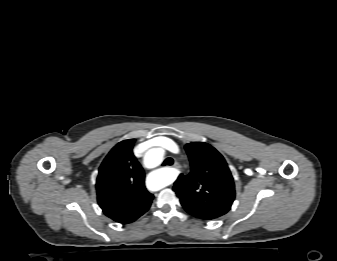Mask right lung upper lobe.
<instances>
[{"label": "right lung upper lobe", "instance_id": "cb5924a9", "mask_svg": "<svg viewBox=\"0 0 337 261\" xmlns=\"http://www.w3.org/2000/svg\"><path fill=\"white\" fill-rule=\"evenodd\" d=\"M134 142L121 141L109 152L96 182L99 206L106 216L122 224L142 216L154 197L145 188L144 170L132 152Z\"/></svg>", "mask_w": 337, "mask_h": 261}]
</instances>
